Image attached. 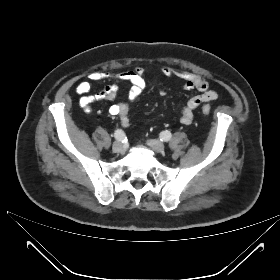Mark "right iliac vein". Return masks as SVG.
<instances>
[{
	"label": "right iliac vein",
	"mask_w": 280,
	"mask_h": 280,
	"mask_svg": "<svg viewBox=\"0 0 280 280\" xmlns=\"http://www.w3.org/2000/svg\"><path fill=\"white\" fill-rule=\"evenodd\" d=\"M112 148L115 153H123L125 151V147L121 142H115Z\"/></svg>",
	"instance_id": "63e3f726"
}]
</instances>
